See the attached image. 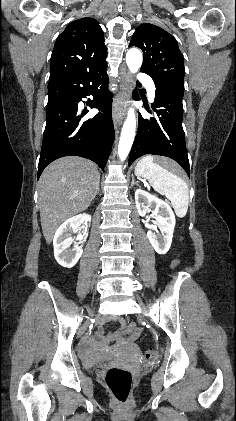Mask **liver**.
Listing matches in <instances>:
<instances>
[{"mask_svg":"<svg viewBox=\"0 0 236 421\" xmlns=\"http://www.w3.org/2000/svg\"><path fill=\"white\" fill-rule=\"evenodd\" d=\"M159 162H169L159 158ZM95 162L81 156H62L43 170L38 182L40 221L50 245L60 225L88 208L99 184ZM77 194L75 198H71Z\"/></svg>","mask_w":236,"mask_h":421,"instance_id":"obj_1","label":"liver"}]
</instances>
